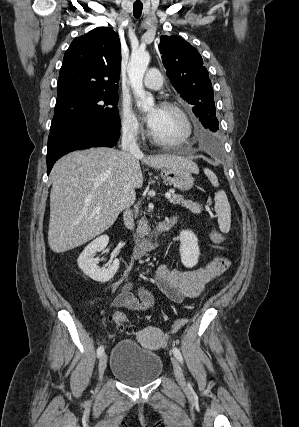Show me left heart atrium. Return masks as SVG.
Returning a JSON list of instances; mask_svg holds the SVG:
<instances>
[{
  "label": "left heart atrium",
  "instance_id": "obj_1",
  "mask_svg": "<svg viewBox=\"0 0 299 427\" xmlns=\"http://www.w3.org/2000/svg\"><path fill=\"white\" fill-rule=\"evenodd\" d=\"M156 117H157V109H154L152 112H150L146 116V121L150 127H152L154 125Z\"/></svg>",
  "mask_w": 299,
  "mask_h": 427
}]
</instances>
